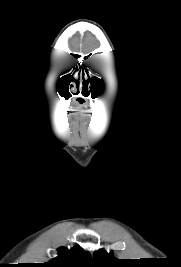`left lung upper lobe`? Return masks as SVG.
Listing matches in <instances>:
<instances>
[{
  "label": "left lung upper lobe",
  "mask_w": 181,
  "mask_h": 267,
  "mask_svg": "<svg viewBox=\"0 0 181 267\" xmlns=\"http://www.w3.org/2000/svg\"><path fill=\"white\" fill-rule=\"evenodd\" d=\"M94 260L97 267H120L125 264L124 260L116 259L112 253L100 249L94 253Z\"/></svg>",
  "instance_id": "1"
}]
</instances>
